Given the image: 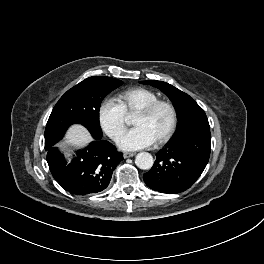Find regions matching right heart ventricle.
<instances>
[{
	"label": "right heart ventricle",
	"mask_w": 264,
	"mask_h": 264,
	"mask_svg": "<svg viewBox=\"0 0 264 264\" xmlns=\"http://www.w3.org/2000/svg\"><path fill=\"white\" fill-rule=\"evenodd\" d=\"M157 99L159 96L156 92L144 87L129 88L117 95L118 104L126 115L136 114Z\"/></svg>",
	"instance_id": "e07e8e85"
}]
</instances>
